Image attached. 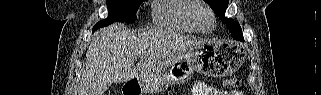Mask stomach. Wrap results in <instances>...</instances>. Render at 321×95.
Masks as SVG:
<instances>
[{
  "label": "stomach",
  "mask_w": 321,
  "mask_h": 95,
  "mask_svg": "<svg viewBox=\"0 0 321 95\" xmlns=\"http://www.w3.org/2000/svg\"><path fill=\"white\" fill-rule=\"evenodd\" d=\"M241 63L242 54L233 44L207 41L189 55L172 62L159 72L140 77L138 83L144 92L160 91L171 84L187 82L194 72L212 77L227 76Z\"/></svg>",
  "instance_id": "stomach-1"
}]
</instances>
